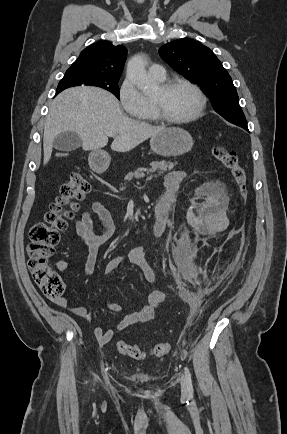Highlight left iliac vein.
Masks as SVG:
<instances>
[{
    "mask_svg": "<svg viewBox=\"0 0 287 434\" xmlns=\"http://www.w3.org/2000/svg\"><path fill=\"white\" fill-rule=\"evenodd\" d=\"M180 383H181L182 395L183 396L189 395V391H188V387H187V381H186V377L185 376L181 377Z\"/></svg>",
    "mask_w": 287,
    "mask_h": 434,
    "instance_id": "1",
    "label": "left iliac vein"
}]
</instances>
